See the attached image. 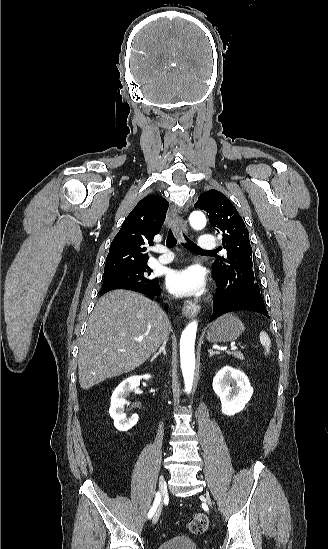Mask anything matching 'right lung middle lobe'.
I'll return each mask as SVG.
<instances>
[{
    "label": "right lung middle lobe",
    "mask_w": 328,
    "mask_h": 549,
    "mask_svg": "<svg viewBox=\"0 0 328 549\" xmlns=\"http://www.w3.org/2000/svg\"><path fill=\"white\" fill-rule=\"evenodd\" d=\"M147 264L130 266L104 272L101 295L114 289H144L152 286L156 279L151 278Z\"/></svg>",
    "instance_id": "dd1d6c3e"
}]
</instances>
